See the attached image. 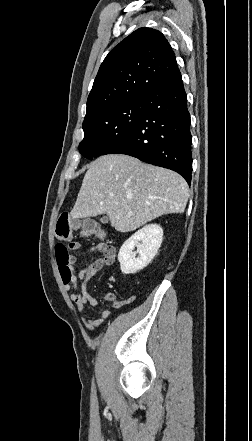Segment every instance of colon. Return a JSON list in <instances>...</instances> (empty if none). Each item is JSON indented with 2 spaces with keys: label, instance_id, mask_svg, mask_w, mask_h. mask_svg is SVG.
Listing matches in <instances>:
<instances>
[{
  "label": "colon",
  "instance_id": "obj_1",
  "mask_svg": "<svg viewBox=\"0 0 252 441\" xmlns=\"http://www.w3.org/2000/svg\"><path fill=\"white\" fill-rule=\"evenodd\" d=\"M74 231H80L86 236L99 235V230L92 220H74L67 213L62 214L59 217L56 225V237L59 241L55 245V255L60 273L66 279H69L72 276V270L69 247L64 243V241L70 240ZM103 246L104 244L100 243L96 246V249L101 250Z\"/></svg>",
  "mask_w": 252,
  "mask_h": 441
}]
</instances>
